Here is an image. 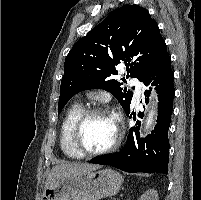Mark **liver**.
Masks as SVG:
<instances>
[{
	"instance_id": "1",
	"label": "liver",
	"mask_w": 201,
	"mask_h": 200,
	"mask_svg": "<svg viewBox=\"0 0 201 200\" xmlns=\"http://www.w3.org/2000/svg\"><path fill=\"white\" fill-rule=\"evenodd\" d=\"M98 165H90L83 163H65L61 165L54 166L50 173L48 174L45 182V189L54 181L71 175L73 173L83 172V171H92L98 169Z\"/></svg>"
}]
</instances>
